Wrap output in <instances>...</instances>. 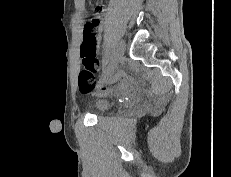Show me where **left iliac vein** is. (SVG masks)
Here are the masks:
<instances>
[{"instance_id": "obj_1", "label": "left iliac vein", "mask_w": 231, "mask_h": 177, "mask_svg": "<svg viewBox=\"0 0 231 177\" xmlns=\"http://www.w3.org/2000/svg\"><path fill=\"white\" fill-rule=\"evenodd\" d=\"M124 52H125V41L121 39L118 41V43L114 48L113 57H112L113 67L110 72H112L113 68H115L118 65V63L120 62L121 58L124 55ZM109 77L110 75L106 76L105 78L108 79Z\"/></svg>"}]
</instances>
